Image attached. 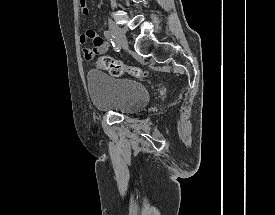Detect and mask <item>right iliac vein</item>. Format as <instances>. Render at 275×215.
Instances as JSON below:
<instances>
[{"label":"right iliac vein","instance_id":"1","mask_svg":"<svg viewBox=\"0 0 275 215\" xmlns=\"http://www.w3.org/2000/svg\"><path fill=\"white\" fill-rule=\"evenodd\" d=\"M108 26L111 32L114 34L118 45L121 46L123 49L128 50V43L123 30L111 21H108Z\"/></svg>","mask_w":275,"mask_h":215}]
</instances>
